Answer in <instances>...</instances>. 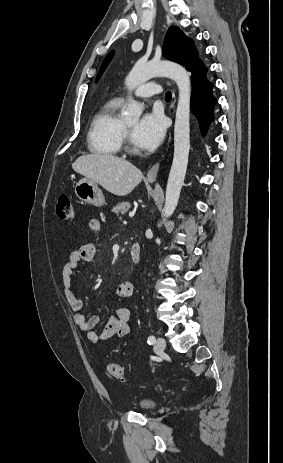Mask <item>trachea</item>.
<instances>
[{"instance_id": "1", "label": "trachea", "mask_w": 283, "mask_h": 463, "mask_svg": "<svg viewBox=\"0 0 283 463\" xmlns=\"http://www.w3.org/2000/svg\"><path fill=\"white\" fill-rule=\"evenodd\" d=\"M165 98L167 101H170L172 99V94L170 91H168L166 94H165Z\"/></svg>"}]
</instances>
